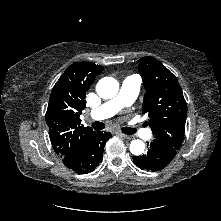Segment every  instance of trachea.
<instances>
[{"instance_id": "obj_1", "label": "trachea", "mask_w": 221, "mask_h": 221, "mask_svg": "<svg viewBox=\"0 0 221 221\" xmlns=\"http://www.w3.org/2000/svg\"><path fill=\"white\" fill-rule=\"evenodd\" d=\"M92 127L94 130H102L105 128V124L103 122H94ZM122 132L127 135H132L136 132V130L134 128L124 127L122 128Z\"/></svg>"}]
</instances>
